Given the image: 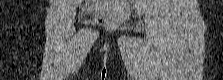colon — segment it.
Here are the masks:
<instances>
[{"label":"colon","instance_id":"obj_1","mask_svg":"<svg viewBox=\"0 0 223 80\" xmlns=\"http://www.w3.org/2000/svg\"><path fill=\"white\" fill-rule=\"evenodd\" d=\"M99 22L104 26H112L114 24L113 21L106 18H100Z\"/></svg>","mask_w":223,"mask_h":80}]
</instances>
